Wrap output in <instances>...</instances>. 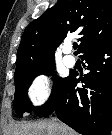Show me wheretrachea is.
Masks as SVG:
<instances>
[{"label": "trachea", "instance_id": "1", "mask_svg": "<svg viewBox=\"0 0 112 135\" xmlns=\"http://www.w3.org/2000/svg\"><path fill=\"white\" fill-rule=\"evenodd\" d=\"M73 48H74V50H76L78 48V45L77 44H74L73 45Z\"/></svg>", "mask_w": 112, "mask_h": 135}]
</instances>
